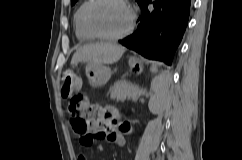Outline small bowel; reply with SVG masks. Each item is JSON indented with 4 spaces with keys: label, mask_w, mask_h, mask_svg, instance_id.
I'll return each instance as SVG.
<instances>
[{
    "label": "small bowel",
    "mask_w": 242,
    "mask_h": 160,
    "mask_svg": "<svg viewBox=\"0 0 242 160\" xmlns=\"http://www.w3.org/2000/svg\"><path fill=\"white\" fill-rule=\"evenodd\" d=\"M105 117L106 119L104 121L102 120L94 121L93 123L94 130L102 132L104 134L102 138H105L106 141H108L109 143L124 145L125 139L123 135V130H121L118 126L119 121L117 117L109 113L106 114ZM71 126L73 128L72 122H71ZM79 160H86V158L83 155H81L79 157Z\"/></svg>",
    "instance_id": "1"
}]
</instances>
